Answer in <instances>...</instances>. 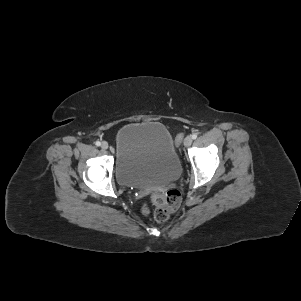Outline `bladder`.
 Instances as JSON below:
<instances>
[{"label": "bladder", "mask_w": 301, "mask_h": 301, "mask_svg": "<svg viewBox=\"0 0 301 301\" xmlns=\"http://www.w3.org/2000/svg\"><path fill=\"white\" fill-rule=\"evenodd\" d=\"M181 162L168 129L158 122L129 123L116 136L115 175L126 187L167 185L180 176Z\"/></svg>", "instance_id": "obj_1"}]
</instances>
